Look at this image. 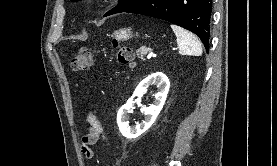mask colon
<instances>
[{
  "mask_svg": "<svg viewBox=\"0 0 277 166\" xmlns=\"http://www.w3.org/2000/svg\"><path fill=\"white\" fill-rule=\"evenodd\" d=\"M113 46L116 51V58L120 64L132 66L134 64V55L130 47L122 44L118 40H113ZM95 59V50L91 48L81 49L72 59V69L75 71H84L92 66Z\"/></svg>",
  "mask_w": 277,
  "mask_h": 166,
  "instance_id": "5ec220e1",
  "label": "colon"
}]
</instances>
